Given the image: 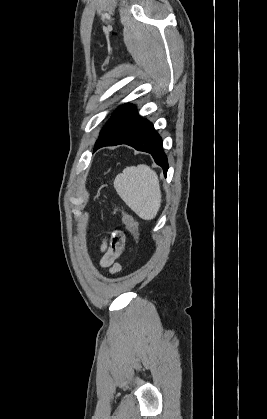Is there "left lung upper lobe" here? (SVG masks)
<instances>
[{
	"label": "left lung upper lobe",
	"mask_w": 267,
	"mask_h": 419,
	"mask_svg": "<svg viewBox=\"0 0 267 419\" xmlns=\"http://www.w3.org/2000/svg\"><path fill=\"white\" fill-rule=\"evenodd\" d=\"M129 106V104H125V105H123V106H120L115 112H114V114H113V116L110 118V120L106 123V125L103 127V129L101 130V132H100V136H99V138L110 128V126L113 124V122H114V117H115V114L116 113H118V112H120V111H122V110H124V109H126L127 107Z\"/></svg>",
	"instance_id": "obj_1"
}]
</instances>
